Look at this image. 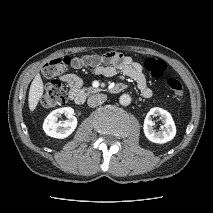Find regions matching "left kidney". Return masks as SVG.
<instances>
[{
	"mask_svg": "<svg viewBox=\"0 0 213 213\" xmlns=\"http://www.w3.org/2000/svg\"><path fill=\"white\" fill-rule=\"evenodd\" d=\"M152 116H161L163 121L161 131L156 132L153 129L154 122L152 121ZM143 130L147 139L157 144L167 143L171 141L176 135V126L171 114L159 107L151 108L147 113L144 120Z\"/></svg>",
	"mask_w": 213,
	"mask_h": 213,
	"instance_id": "obj_1",
	"label": "left kidney"
}]
</instances>
